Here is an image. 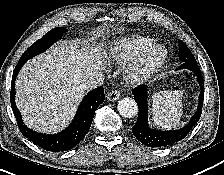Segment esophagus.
I'll return each instance as SVG.
<instances>
[{
	"label": "esophagus",
	"mask_w": 224,
	"mask_h": 175,
	"mask_svg": "<svg viewBox=\"0 0 224 175\" xmlns=\"http://www.w3.org/2000/svg\"><path fill=\"white\" fill-rule=\"evenodd\" d=\"M108 100L117 101L120 98V92L117 90H113L107 95Z\"/></svg>",
	"instance_id": "obj_1"
}]
</instances>
